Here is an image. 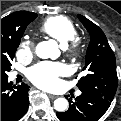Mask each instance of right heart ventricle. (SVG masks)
<instances>
[{"label": "right heart ventricle", "instance_id": "obj_1", "mask_svg": "<svg viewBox=\"0 0 121 121\" xmlns=\"http://www.w3.org/2000/svg\"><path fill=\"white\" fill-rule=\"evenodd\" d=\"M40 30L56 39L62 47H66L77 37V29L74 23L64 16L47 18L40 26Z\"/></svg>", "mask_w": 121, "mask_h": 121}]
</instances>
